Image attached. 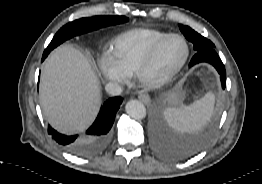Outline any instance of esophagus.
I'll list each match as a JSON object with an SVG mask.
<instances>
[{"instance_id": "obj_1", "label": "esophagus", "mask_w": 262, "mask_h": 184, "mask_svg": "<svg viewBox=\"0 0 262 184\" xmlns=\"http://www.w3.org/2000/svg\"><path fill=\"white\" fill-rule=\"evenodd\" d=\"M138 98L140 101H142L146 105L151 103V97L148 94H145V93L140 94Z\"/></svg>"}]
</instances>
